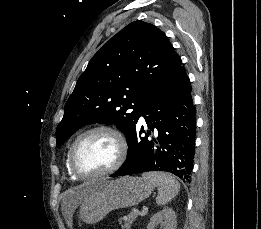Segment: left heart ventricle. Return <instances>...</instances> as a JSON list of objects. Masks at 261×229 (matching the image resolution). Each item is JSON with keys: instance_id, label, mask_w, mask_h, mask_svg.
<instances>
[{"instance_id": "1", "label": "left heart ventricle", "mask_w": 261, "mask_h": 229, "mask_svg": "<svg viewBox=\"0 0 261 229\" xmlns=\"http://www.w3.org/2000/svg\"><path fill=\"white\" fill-rule=\"evenodd\" d=\"M117 154V145L112 136L107 133H95L78 147L74 162L83 172H100L114 164Z\"/></svg>"}]
</instances>
